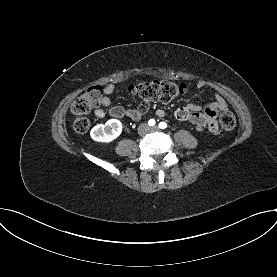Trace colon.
<instances>
[{"label": "colon", "mask_w": 277, "mask_h": 277, "mask_svg": "<svg viewBox=\"0 0 277 277\" xmlns=\"http://www.w3.org/2000/svg\"><path fill=\"white\" fill-rule=\"evenodd\" d=\"M187 86L184 83H175L167 80H153L142 82L130 87V92L145 101L169 102L176 97L184 94ZM103 90L99 86L87 89L72 104L71 112L75 115L72 128L76 133L82 134L88 131L90 121L86 114L101 103ZM220 123L226 130H232L236 125V119L232 112L222 111Z\"/></svg>", "instance_id": "colon-1"}]
</instances>
